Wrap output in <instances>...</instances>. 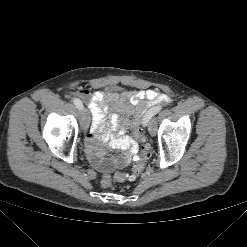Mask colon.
I'll return each instance as SVG.
<instances>
[{
	"mask_svg": "<svg viewBox=\"0 0 247 247\" xmlns=\"http://www.w3.org/2000/svg\"><path fill=\"white\" fill-rule=\"evenodd\" d=\"M134 136L140 142V154L135 159V164L133 165L131 172L129 173H117L113 177L110 175H105L102 178V185L104 187H110L113 181H131L137 178L145 169L146 163L150 156V146L144 135L141 123L138 124L134 129Z\"/></svg>",
	"mask_w": 247,
	"mask_h": 247,
	"instance_id": "colon-1",
	"label": "colon"
}]
</instances>
